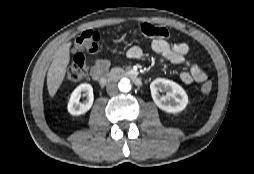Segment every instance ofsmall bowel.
<instances>
[{
  "instance_id": "obj_1",
  "label": "small bowel",
  "mask_w": 254,
  "mask_h": 174,
  "mask_svg": "<svg viewBox=\"0 0 254 174\" xmlns=\"http://www.w3.org/2000/svg\"><path fill=\"white\" fill-rule=\"evenodd\" d=\"M151 48L165 61L173 64H183L188 70L181 72L180 78L185 84L192 82L203 83L207 80L205 71L188 58L189 46L184 42L169 43L163 39H154L151 42ZM144 55L142 48L139 46L131 47L126 56L130 59H140ZM109 68V62L104 59H97L91 67V76L97 79L98 76L105 74Z\"/></svg>"
}]
</instances>
